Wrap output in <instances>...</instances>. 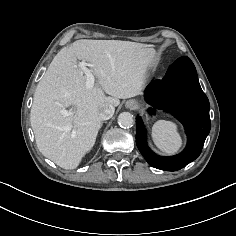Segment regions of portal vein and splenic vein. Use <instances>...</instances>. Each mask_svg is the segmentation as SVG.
<instances>
[{
  "label": "portal vein and splenic vein",
  "instance_id": "obj_1",
  "mask_svg": "<svg viewBox=\"0 0 236 236\" xmlns=\"http://www.w3.org/2000/svg\"><path fill=\"white\" fill-rule=\"evenodd\" d=\"M78 66L83 70L85 76H86V86L88 88H92L94 86V83H95V79H94V76L93 74L91 73V71L86 67L87 66V63L85 61H81L78 63ZM60 113L64 116H68L71 114V111H68V110H65V109H62L60 111Z\"/></svg>",
  "mask_w": 236,
  "mask_h": 236
}]
</instances>
